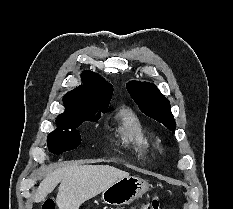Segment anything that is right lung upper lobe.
Segmentation results:
<instances>
[{
    "mask_svg": "<svg viewBox=\"0 0 233 209\" xmlns=\"http://www.w3.org/2000/svg\"><path fill=\"white\" fill-rule=\"evenodd\" d=\"M84 85L78 86L63 97L65 113L107 110L113 93V87L98 74L85 71L81 74ZM62 115V114H61Z\"/></svg>",
    "mask_w": 233,
    "mask_h": 209,
    "instance_id": "right-lung-upper-lobe-1",
    "label": "right lung upper lobe"
}]
</instances>
